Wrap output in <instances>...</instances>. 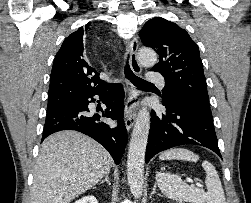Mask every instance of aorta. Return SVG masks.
Here are the masks:
<instances>
[{"label": "aorta", "instance_id": "1", "mask_svg": "<svg viewBox=\"0 0 251 203\" xmlns=\"http://www.w3.org/2000/svg\"><path fill=\"white\" fill-rule=\"evenodd\" d=\"M138 59L144 66H153L157 61V54L153 49L142 48L138 52ZM150 128V113L142 108L136 118L128 149L127 178L131 193L139 198L143 192L145 152Z\"/></svg>", "mask_w": 251, "mask_h": 203}]
</instances>
